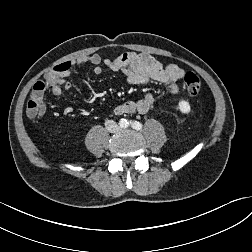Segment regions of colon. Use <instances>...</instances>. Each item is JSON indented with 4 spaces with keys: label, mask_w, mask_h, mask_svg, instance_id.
I'll use <instances>...</instances> for the list:
<instances>
[{
    "label": "colon",
    "mask_w": 252,
    "mask_h": 252,
    "mask_svg": "<svg viewBox=\"0 0 252 252\" xmlns=\"http://www.w3.org/2000/svg\"><path fill=\"white\" fill-rule=\"evenodd\" d=\"M65 67L61 64L47 73L44 81H38L33 85L32 93L26 106V113L30 118H37L45 112V91L52 83H56ZM183 83L190 95H197L203 87L201 79L193 72H187L182 76Z\"/></svg>",
    "instance_id": "1"
}]
</instances>
